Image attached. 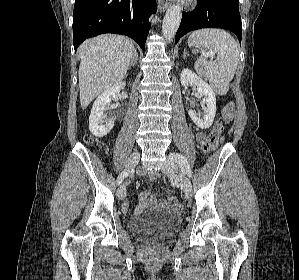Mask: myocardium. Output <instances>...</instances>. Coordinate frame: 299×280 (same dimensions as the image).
I'll return each instance as SVG.
<instances>
[{"label": "myocardium", "mask_w": 299, "mask_h": 280, "mask_svg": "<svg viewBox=\"0 0 299 280\" xmlns=\"http://www.w3.org/2000/svg\"><path fill=\"white\" fill-rule=\"evenodd\" d=\"M193 1H194V0H183V2H184L185 4H187V5L193 3Z\"/></svg>", "instance_id": "f54148a6"}]
</instances>
